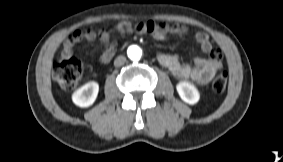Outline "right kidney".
Instances as JSON below:
<instances>
[{
	"label": "right kidney",
	"mask_w": 283,
	"mask_h": 162,
	"mask_svg": "<svg viewBox=\"0 0 283 162\" xmlns=\"http://www.w3.org/2000/svg\"><path fill=\"white\" fill-rule=\"evenodd\" d=\"M98 91L99 85L97 82H88L73 93L72 100L79 107H89L96 100Z\"/></svg>",
	"instance_id": "ca27d5eb"
}]
</instances>
